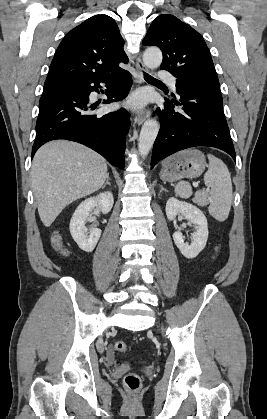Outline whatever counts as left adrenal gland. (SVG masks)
<instances>
[{
    "mask_svg": "<svg viewBox=\"0 0 267 419\" xmlns=\"http://www.w3.org/2000/svg\"><path fill=\"white\" fill-rule=\"evenodd\" d=\"M160 188H161V189H160V192H162V191H166V192H168L166 189H164V187H163L162 185L160 186Z\"/></svg>",
    "mask_w": 267,
    "mask_h": 419,
    "instance_id": "obj_1",
    "label": "left adrenal gland"
}]
</instances>
